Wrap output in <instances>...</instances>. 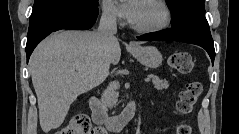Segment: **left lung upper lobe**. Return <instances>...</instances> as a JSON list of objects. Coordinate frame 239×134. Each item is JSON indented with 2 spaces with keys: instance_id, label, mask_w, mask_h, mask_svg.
I'll use <instances>...</instances> for the list:
<instances>
[{
  "instance_id": "obj_1",
  "label": "left lung upper lobe",
  "mask_w": 239,
  "mask_h": 134,
  "mask_svg": "<svg viewBox=\"0 0 239 134\" xmlns=\"http://www.w3.org/2000/svg\"><path fill=\"white\" fill-rule=\"evenodd\" d=\"M175 26L191 15L204 16V0H166Z\"/></svg>"
}]
</instances>
